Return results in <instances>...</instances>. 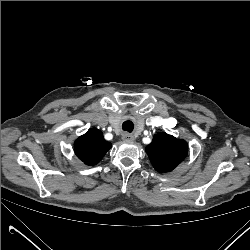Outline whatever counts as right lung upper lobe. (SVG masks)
<instances>
[{
    "instance_id": "obj_1",
    "label": "right lung upper lobe",
    "mask_w": 250,
    "mask_h": 250,
    "mask_svg": "<svg viewBox=\"0 0 250 250\" xmlns=\"http://www.w3.org/2000/svg\"><path fill=\"white\" fill-rule=\"evenodd\" d=\"M111 146V143L103 138L100 130L91 128L76 139L74 151L76 156L86 165H96Z\"/></svg>"
}]
</instances>
